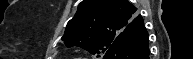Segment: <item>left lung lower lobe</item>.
Wrapping results in <instances>:
<instances>
[{
    "mask_svg": "<svg viewBox=\"0 0 193 59\" xmlns=\"http://www.w3.org/2000/svg\"><path fill=\"white\" fill-rule=\"evenodd\" d=\"M148 33L142 17L133 21L118 41H114L104 59H149Z\"/></svg>",
    "mask_w": 193,
    "mask_h": 59,
    "instance_id": "1",
    "label": "left lung lower lobe"
}]
</instances>
